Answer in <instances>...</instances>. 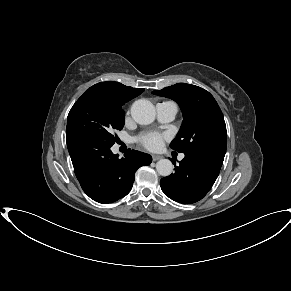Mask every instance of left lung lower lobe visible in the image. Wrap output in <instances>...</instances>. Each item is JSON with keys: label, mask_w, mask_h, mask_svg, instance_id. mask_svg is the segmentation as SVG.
Returning <instances> with one entry per match:
<instances>
[{"label": "left lung lower lobe", "mask_w": 291, "mask_h": 291, "mask_svg": "<svg viewBox=\"0 0 291 291\" xmlns=\"http://www.w3.org/2000/svg\"><path fill=\"white\" fill-rule=\"evenodd\" d=\"M224 157L185 153L175 172L160 181L162 191L172 200L191 204L201 200L216 181Z\"/></svg>", "instance_id": "left-lung-lower-lobe-1"}]
</instances>
